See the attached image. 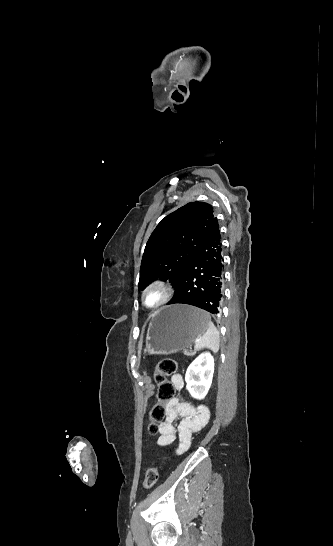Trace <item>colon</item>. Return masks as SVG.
Wrapping results in <instances>:
<instances>
[{"mask_svg": "<svg viewBox=\"0 0 333 546\" xmlns=\"http://www.w3.org/2000/svg\"><path fill=\"white\" fill-rule=\"evenodd\" d=\"M177 367L178 363L170 358L161 359L155 367L154 379L158 386V392L157 402L152 406L149 415L150 423L148 429L151 434L158 432L159 424L164 420L166 415L165 405L174 398L175 387L168 378L175 375ZM158 478V467L149 468L146 472L143 486L147 489L152 488L157 483Z\"/></svg>", "mask_w": 333, "mask_h": 546, "instance_id": "obj_1", "label": "colon"}]
</instances>
